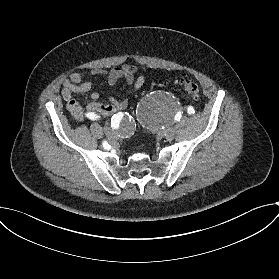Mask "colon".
<instances>
[{
	"instance_id": "obj_1",
	"label": "colon",
	"mask_w": 279,
	"mask_h": 279,
	"mask_svg": "<svg viewBox=\"0 0 279 279\" xmlns=\"http://www.w3.org/2000/svg\"><path fill=\"white\" fill-rule=\"evenodd\" d=\"M175 82L182 87V89L193 99H198L200 96V89L198 84L184 76L177 77Z\"/></svg>"
}]
</instances>
